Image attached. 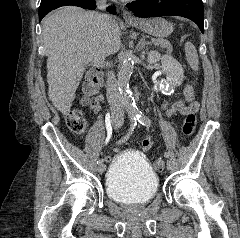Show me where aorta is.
Here are the masks:
<instances>
[{"instance_id":"aorta-1","label":"aorta","mask_w":240,"mask_h":238,"mask_svg":"<svg viewBox=\"0 0 240 238\" xmlns=\"http://www.w3.org/2000/svg\"><path fill=\"white\" fill-rule=\"evenodd\" d=\"M133 68L134 56L129 54L124 58L118 73L119 92L122 97L124 107L130 117L139 114V110L129 89V82Z\"/></svg>"}]
</instances>
